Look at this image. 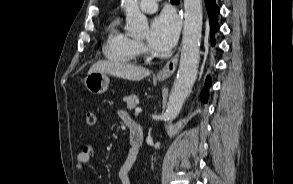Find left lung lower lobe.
Wrapping results in <instances>:
<instances>
[{
    "label": "left lung lower lobe",
    "mask_w": 293,
    "mask_h": 184,
    "mask_svg": "<svg viewBox=\"0 0 293 184\" xmlns=\"http://www.w3.org/2000/svg\"><path fill=\"white\" fill-rule=\"evenodd\" d=\"M207 10H208V15H209V22H210V28H211V42L212 45L214 46L215 44V39H214V33L219 29V25L217 23L216 17L220 12V9L217 7L215 0H205ZM211 84V80L209 77H207L205 86L201 92V99L203 102H207V92H208V87Z\"/></svg>",
    "instance_id": "obj_1"
}]
</instances>
